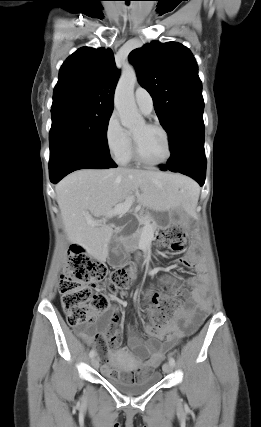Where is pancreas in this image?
<instances>
[{
  "mask_svg": "<svg viewBox=\"0 0 261 427\" xmlns=\"http://www.w3.org/2000/svg\"><path fill=\"white\" fill-rule=\"evenodd\" d=\"M152 220L153 219L151 218V216L149 214H146V215L142 216L139 219V224L140 225L150 224ZM150 228H151V231L154 232L156 230V225L155 224H151ZM143 230H144L143 227H141V228L138 229L137 234H136L137 238H139L141 236V234L143 233Z\"/></svg>",
  "mask_w": 261,
  "mask_h": 427,
  "instance_id": "1",
  "label": "pancreas"
}]
</instances>
